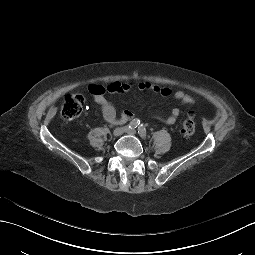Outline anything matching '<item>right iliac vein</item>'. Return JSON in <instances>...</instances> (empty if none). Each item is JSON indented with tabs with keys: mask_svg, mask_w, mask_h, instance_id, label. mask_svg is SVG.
<instances>
[{
	"mask_svg": "<svg viewBox=\"0 0 255 255\" xmlns=\"http://www.w3.org/2000/svg\"><path fill=\"white\" fill-rule=\"evenodd\" d=\"M126 128L125 127H118L113 131V136L114 137H119L125 132Z\"/></svg>",
	"mask_w": 255,
	"mask_h": 255,
	"instance_id": "right-iliac-vein-1",
	"label": "right iliac vein"
}]
</instances>
